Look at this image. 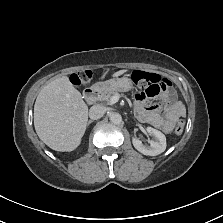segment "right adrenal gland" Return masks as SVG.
<instances>
[{"label":"right adrenal gland","instance_id":"obj_1","mask_svg":"<svg viewBox=\"0 0 223 223\" xmlns=\"http://www.w3.org/2000/svg\"><path fill=\"white\" fill-rule=\"evenodd\" d=\"M93 122V120H89L86 124V126L88 127L91 123Z\"/></svg>","mask_w":223,"mask_h":223}]
</instances>
